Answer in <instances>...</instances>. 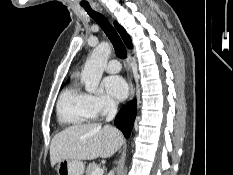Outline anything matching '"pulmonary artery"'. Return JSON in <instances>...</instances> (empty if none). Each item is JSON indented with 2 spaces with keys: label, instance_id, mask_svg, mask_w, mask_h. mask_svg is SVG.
Wrapping results in <instances>:
<instances>
[{
  "label": "pulmonary artery",
  "instance_id": "pulmonary-artery-1",
  "mask_svg": "<svg viewBox=\"0 0 233 175\" xmlns=\"http://www.w3.org/2000/svg\"><path fill=\"white\" fill-rule=\"evenodd\" d=\"M121 70V64L118 60L112 59L106 65V71L108 73H117Z\"/></svg>",
  "mask_w": 233,
  "mask_h": 175
}]
</instances>
